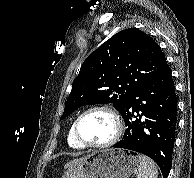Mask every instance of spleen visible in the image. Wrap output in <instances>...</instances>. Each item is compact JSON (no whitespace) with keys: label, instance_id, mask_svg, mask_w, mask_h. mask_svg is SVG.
<instances>
[{"label":"spleen","instance_id":"1","mask_svg":"<svg viewBox=\"0 0 194 178\" xmlns=\"http://www.w3.org/2000/svg\"><path fill=\"white\" fill-rule=\"evenodd\" d=\"M137 178H158V169L155 163L144 155H139Z\"/></svg>","mask_w":194,"mask_h":178}]
</instances>
